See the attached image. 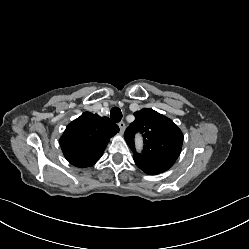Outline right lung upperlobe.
<instances>
[{"label":"right lung upper lobe","mask_w":249,"mask_h":249,"mask_svg":"<svg viewBox=\"0 0 249 249\" xmlns=\"http://www.w3.org/2000/svg\"><path fill=\"white\" fill-rule=\"evenodd\" d=\"M118 131L119 127L109 118L85 112L66 127L60 146L69 163L89 167L100 159L110 138Z\"/></svg>","instance_id":"obj_1"}]
</instances>
